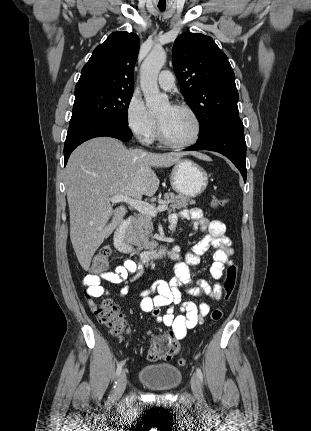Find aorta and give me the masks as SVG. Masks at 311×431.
Returning a JSON list of instances; mask_svg holds the SVG:
<instances>
[{"label": "aorta", "mask_w": 311, "mask_h": 431, "mask_svg": "<svg viewBox=\"0 0 311 431\" xmlns=\"http://www.w3.org/2000/svg\"><path fill=\"white\" fill-rule=\"evenodd\" d=\"M166 52L163 48L151 50L140 68L141 90L146 100V106L152 112H158L160 108H168L169 98L167 94H160L158 88V74L165 66Z\"/></svg>", "instance_id": "762f6f07"}]
</instances>
